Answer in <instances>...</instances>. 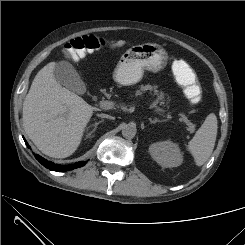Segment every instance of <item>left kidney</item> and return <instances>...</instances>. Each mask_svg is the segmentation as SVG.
<instances>
[{"instance_id": "1", "label": "left kidney", "mask_w": 245, "mask_h": 245, "mask_svg": "<svg viewBox=\"0 0 245 245\" xmlns=\"http://www.w3.org/2000/svg\"><path fill=\"white\" fill-rule=\"evenodd\" d=\"M151 157L164 168L177 167L183 163V155L178 144L172 141H160L150 145Z\"/></svg>"}]
</instances>
